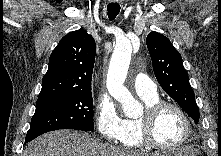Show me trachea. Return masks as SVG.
<instances>
[{"label": "trachea", "mask_w": 221, "mask_h": 156, "mask_svg": "<svg viewBox=\"0 0 221 156\" xmlns=\"http://www.w3.org/2000/svg\"><path fill=\"white\" fill-rule=\"evenodd\" d=\"M107 11L109 19L114 20L120 12V5L117 3H111L108 5Z\"/></svg>", "instance_id": "obj_1"}]
</instances>
